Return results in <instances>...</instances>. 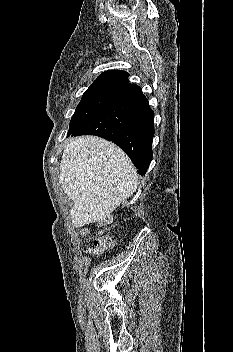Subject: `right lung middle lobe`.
Instances as JSON below:
<instances>
[{"label":"right lung middle lobe","mask_w":233,"mask_h":352,"mask_svg":"<svg viewBox=\"0 0 233 352\" xmlns=\"http://www.w3.org/2000/svg\"><path fill=\"white\" fill-rule=\"evenodd\" d=\"M137 93V90L127 87H89L83 94L70 121L69 132L76 131L108 108Z\"/></svg>","instance_id":"obj_1"}]
</instances>
